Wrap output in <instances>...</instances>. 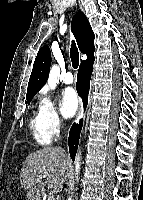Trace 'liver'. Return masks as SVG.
<instances>
[{
  "mask_svg": "<svg viewBox=\"0 0 143 200\" xmlns=\"http://www.w3.org/2000/svg\"><path fill=\"white\" fill-rule=\"evenodd\" d=\"M70 160L59 147H45L31 152L23 163L20 183L27 189L28 200H41L46 191L59 193L70 176ZM47 171L46 181L42 182Z\"/></svg>",
  "mask_w": 143,
  "mask_h": 200,
  "instance_id": "obj_1",
  "label": "liver"
}]
</instances>
